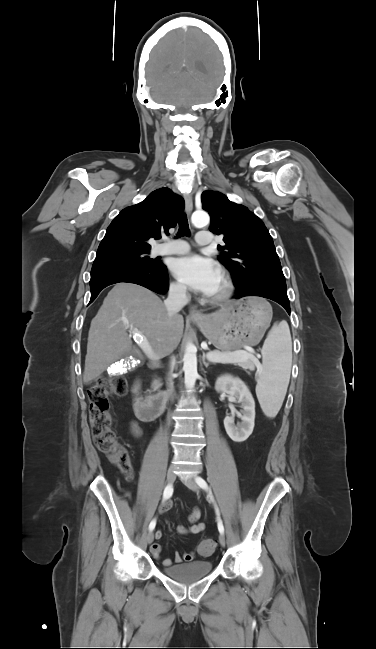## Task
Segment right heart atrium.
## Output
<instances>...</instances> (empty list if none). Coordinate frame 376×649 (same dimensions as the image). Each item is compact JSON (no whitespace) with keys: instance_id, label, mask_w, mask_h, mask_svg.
Wrapping results in <instances>:
<instances>
[{"instance_id":"obj_1","label":"right heart atrium","mask_w":376,"mask_h":649,"mask_svg":"<svg viewBox=\"0 0 376 649\" xmlns=\"http://www.w3.org/2000/svg\"><path fill=\"white\" fill-rule=\"evenodd\" d=\"M170 293L173 297L180 300L185 299L187 296L186 288L178 282H173L170 284Z\"/></svg>"}]
</instances>
